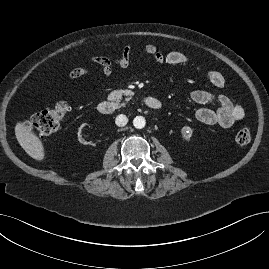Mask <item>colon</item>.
Returning a JSON list of instances; mask_svg holds the SVG:
<instances>
[{"label":"colon","mask_w":269,"mask_h":269,"mask_svg":"<svg viewBox=\"0 0 269 269\" xmlns=\"http://www.w3.org/2000/svg\"><path fill=\"white\" fill-rule=\"evenodd\" d=\"M69 112V105L65 101H60L55 105L37 113L30 120L26 121L24 127L26 130L38 135H50L54 133L63 118ZM251 132L247 128L239 130L236 134V142L240 145L249 143Z\"/></svg>","instance_id":"5ec220e1"}]
</instances>
